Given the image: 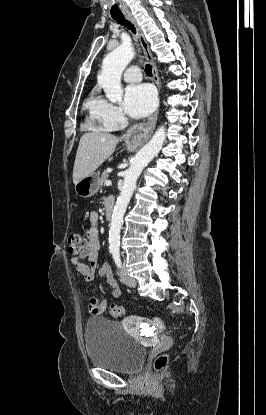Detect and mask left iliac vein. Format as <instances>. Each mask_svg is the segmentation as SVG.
<instances>
[{
  "mask_svg": "<svg viewBox=\"0 0 266 415\" xmlns=\"http://www.w3.org/2000/svg\"><path fill=\"white\" fill-rule=\"evenodd\" d=\"M120 276L125 285L129 287H134L136 285V280L128 274L124 267L120 270Z\"/></svg>",
  "mask_w": 266,
  "mask_h": 415,
  "instance_id": "1",
  "label": "left iliac vein"
}]
</instances>
